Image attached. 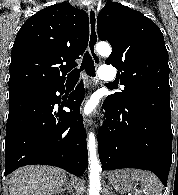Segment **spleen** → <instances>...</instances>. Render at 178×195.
Wrapping results in <instances>:
<instances>
[{"label":"spleen","instance_id":"1","mask_svg":"<svg viewBox=\"0 0 178 195\" xmlns=\"http://www.w3.org/2000/svg\"><path fill=\"white\" fill-rule=\"evenodd\" d=\"M122 171L124 174L129 175L133 180L141 182V187L145 195H162L161 183L154 174L137 169Z\"/></svg>","mask_w":178,"mask_h":195}]
</instances>
